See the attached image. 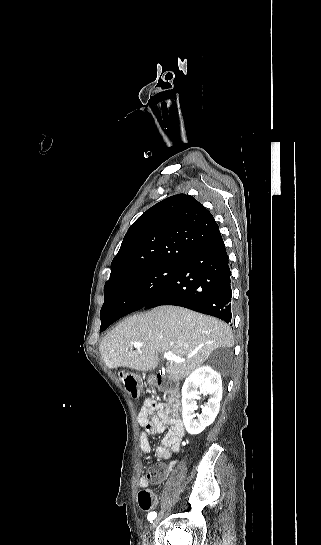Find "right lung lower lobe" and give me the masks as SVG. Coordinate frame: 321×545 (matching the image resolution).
Returning <instances> with one entry per match:
<instances>
[{
    "label": "right lung lower lobe",
    "instance_id": "obj_1",
    "mask_svg": "<svg viewBox=\"0 0 321 545\" xmlns=\"http://www.w3.org/2000/svg\"><path fill=\"white\" fill-rule=\"evenodd\" d=\"M228 263L225 245L218 231L181 265L177 274L142 308L177 305L230 323L232 290ZM137 310V307L132 308L119 301L108 302L100 312L106 321L102 331L119 318Z\"/></svg>",
    "mask_w": 321,
    "mask_h": 545
}]
</instances>
